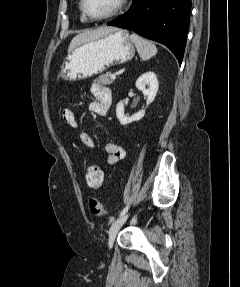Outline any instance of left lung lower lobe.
<instances>
[{"label":"left lung lower lobe","mask_w":240,"mask_h":287,"mask_svg":"<svg viewBox=\"0 0 240 287\" xmlns=\"http://www.w3.org/2000/svg\"><path fill=\"white\" fill-rule=\"evenodd\" d=\"M191 0H135L129 10L107 25L132 30L166 45L182 62Z\"/></svg>","instance_id":"0a47b994"}]
</instances>
